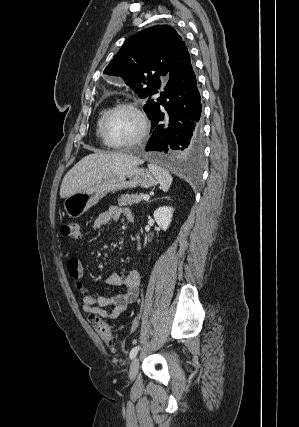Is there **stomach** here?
I'll return each instance as SVG.
<instances>
[{
    "instance_id": "0dacf381",
    "label": "stomach",
    "mask_w": 299,
    "mask_h": 427,
    "mask_svg": "<svg viewBox=\"0 0 299 427\" xmlns=\"http://www.w3.org/2000/svg\"><path fill=\"white\" fill-rule=\"evenodd\" d=\"M156 184L157 180L150 170L136 166L67 197L64 201V210L70 218H78L108 193L133 189L138 186L150 188Z\"/></svg>"
}]
</instances>
